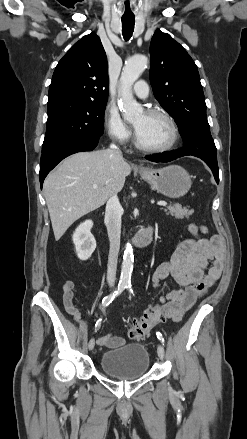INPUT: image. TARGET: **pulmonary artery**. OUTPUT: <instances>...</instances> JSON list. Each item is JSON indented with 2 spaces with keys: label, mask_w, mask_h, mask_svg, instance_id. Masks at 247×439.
Listing matches in <instances>:
<instances>
[{
  "label": "pulmonary artery",
  "mask_w": 247,
  "mask_h": 439,
  "mask_svg": "<svg viewBox=\"0 0 247 439\" xmlns=\"http://www.w3.org/2000/svg\"><path fill=\"white\" fill-rule=\"evenodd\" d=\"M134 94L139 98H146L149 93L148 85L145 81H138L133 87Z\"/></svg>",
  "instance_id": "e3ab8cb5"
}]
</instances>
